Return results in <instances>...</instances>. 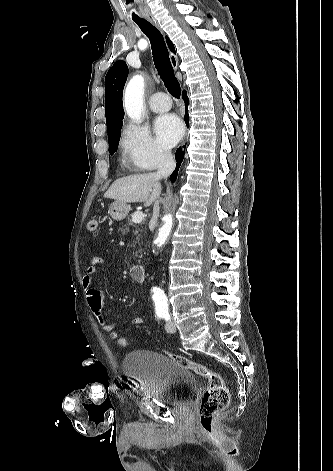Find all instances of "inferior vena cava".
Returning <instances> with one entry per match:
<instances>
[{
	"label": "inferior vena cava",
	"instance_id": "obj_1",
	"mask_svg": "<svg viewBox=\"0 0 333 471\" xmlns=\"http://www.w3.org/2000/svg\"><path fill=\"white\" fill-rule=\"evenodd\" d=\"M176 163L169 151H161L156 177L167 178L175 169ZM159 215V202H155L153 208L152 222H156Z\"/></svg>",
	"mask_w": 333,
	"mask_h": 471
}]
</instances>
